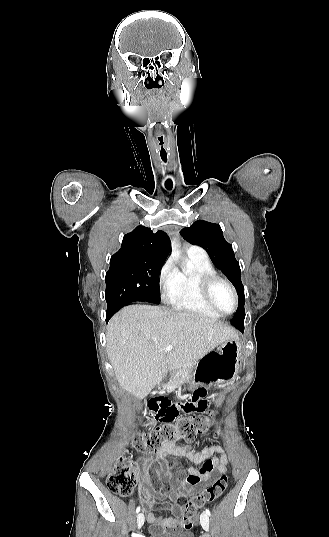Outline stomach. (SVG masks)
I'll list each match as a JSON object with an SVG mask.
<instances>
[{
  "mask_svg": "<svg viewBox=\"0 0 329 537\" xmlns=\"http://www.w3.org/2000/svg\"><path fill=\"white\" fill-rule=\"evenodd\" d=\"M241 359L242 344L239 338H230L218 351H210L200 359L187 383L192 388L199 383L213 384L232 379L238 372Z\"/></svg>",
  "mask_w": 329,
  "mask_h": 537,
  "instance_id": "1",
  "label": "stomach"
}]
</instances>
